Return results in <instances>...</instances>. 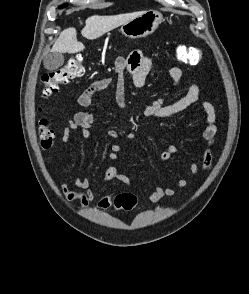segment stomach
Segmentation results:
<instances>
[{
    "label": "stomach",
    "mask_w": 249,
    "mask_h": 294,
    "mask_svg": "<svg viewBox=\"0 0 249 294\" xmlns=\"http://www.w3.org/2000/svg\"><path fill=\"white\" fill-rule=\"evenodd\" d=\"M163 21L158 11H145L139 17L122 25L121 33L130 39L144 38L152 34Z\"/></svg>",
    "instance_id": "0dacf381"
}]
</instances>
